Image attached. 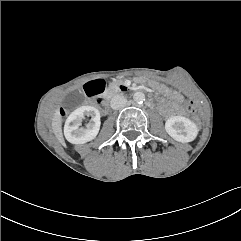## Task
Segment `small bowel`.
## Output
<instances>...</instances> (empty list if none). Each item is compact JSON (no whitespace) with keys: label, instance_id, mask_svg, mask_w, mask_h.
I'll return each mask as SVG.
<instances>
[{"label":"small bowel","instance_id":"small-bowel-1","mask_svg":"<svg viewBox=\"0 0 241 241\" xmlns=\"http://www.w3.org/2000/svg\"><path fill=\"white\" fill-rule=\"evenodd\" d=\"M182 97L179 95H172L170 101L165 105L164 111L166 114H172L178 112L181 109Z\"/></svg>","mask_w":241,"mask_h":241}]
</instances>
